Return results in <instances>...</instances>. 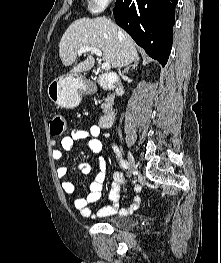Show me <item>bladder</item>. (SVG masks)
I'll list each match as a JSON object with an SVG mask.
<instances>
[{"label": "bladder", "instance_id": "bladder-1", "mask_svg": "<svg viewBox=\"0 0 221 263\" xmlns=\"http://www.w3.org/2000/svg\"><path fill=\"white\" fill-rule=\"evenodd\" d=\"M102 222L122 230H129L135 226V220L133 218L119 215L108 216L102 220Z\"/></svg>", "mask_w": 221, "mask_h": 263}]
</instances>
